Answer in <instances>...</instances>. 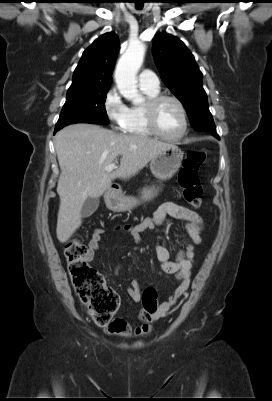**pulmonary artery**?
<instances>
[{
    "instance_id": "obj_1",
    "label": "pulmonary artery",
    "mask_w": 272,
    "mask_h": 401,
    "mask_svg": "<svg viewBox=\"0 0 272 401\" xmlns=\"http://www.w3.org/2000/svg\"><path fill=\"white\" fill-rule=\"evenodd\" d=\"M139 85L144 89L156 90L160 87V81L157 75L151 70H143L139 75Z\"/></svg>"
}]
</instances>
